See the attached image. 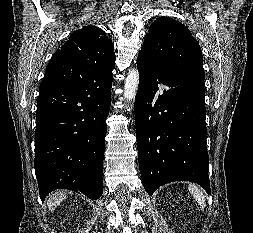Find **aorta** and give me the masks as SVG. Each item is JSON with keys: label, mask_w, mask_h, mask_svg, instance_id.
Segmentation results:
<instances>
[{"label": "aorta", "mask_w": 253, "mask_h": 233, "mask_svg": "<svg viewBox=\"0 0 253 233\" xmlns=\"http://www.w3.org/2000/svg\"><path fill=\"white\" fill-rule=\"evenodd\" d=\"M139 86V73L135 69H131L125 80L124 98L127 102L134 100ZM130 111V108L127 109Z\"/></svg>", "instance_id": "1"}]
</instances>
